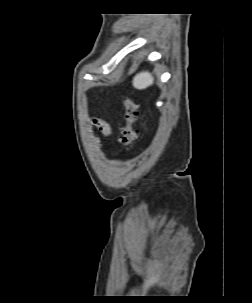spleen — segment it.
<instances>
[{
	"mask_svg": "<svg viewBox=\"0 0 252 303\" xmlns=\"http://www.w3.org/2000/svg\"><path fill=\"white\" fill-rule=\"evenodd\" d=\"M154 82V78L152 74L148 71H143L138 73L133 78V86L138 90H143L152 85Z\"/></svg>",
	"mask_w": 252,
	"mask_h": 303,
	"instance_id": "spleen-1",
	"label": "spleen"
}]
</instances>
